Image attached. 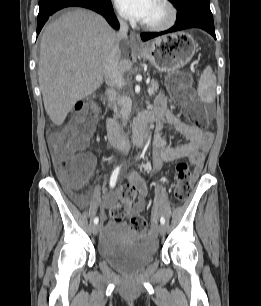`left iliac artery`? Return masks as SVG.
Masks as SVG:
<instances>
[{"instance_id":"left-iliac-artery-1","label":"left iliac artery","mask_w":261,"mask_h":306,"mask_svg":"<svg viewBox=\"0 0 261 306\" xmlns=\"http://www.w3.org/2000/svg\"><path fill=\"white\" fill-rule=\"evenodd\" d=\"M160 223L165 224V218L163 216H161V218H160Z\"/></svg>"}]
</instances>
